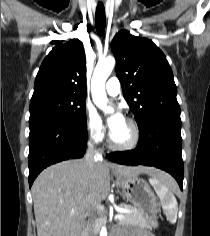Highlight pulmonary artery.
Instances as JSON below:
<instances>
[{
	"label": "pulmonary artery",
	"instance_id": "pulmonary-artery-1",
	"mask_svg": "<svg viewBox=\"0 0 210 236\" xmlns=\"http://www.w3.org/2000/svg\"><path fill=\"white\" fill-rule=\"evenodd\" d=\"M105 90L111 96L118 95L121 90L119 80L116 77H112L111 79H109L105 85Z\"/></svg>",
	"mask_w": 210,
	"mask_h": 236
}]
</instances>
